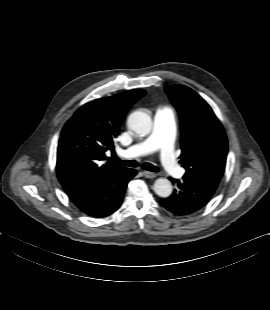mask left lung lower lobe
<instances>
[{
    "mask_svg": "<svg viewBox=\"0 0 270 310\" xmlns=\"http://www.w3.org/2000/svg\"><path fill=\"white\" fill-rule=\"evenodd\" d=\"M177 184L172 196L161 200V204L177 215H188L202 209L218 188L219 182L184 175L183 180L170 178Z\"/></svg>",
    "mask_w": 270,
    "mask_h": 310,
    "instance_id": "0a47b994",
    "label": "left lung lower lobe"
}]
</instances>
